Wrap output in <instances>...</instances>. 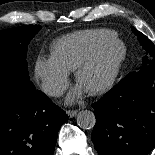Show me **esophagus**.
Here are the masks:
<instances>
[{
  "instance_id": "1",
  "label": "esophagus",
  "mask_w": 155,
  "mask_h": 155,
  "mask_svg": "<svg viewBox=\"0 0 155 155\" xmlns=\"http://www.w3.org/2000/svg\"><path fill=\"white\" fill-rule=\"evenodd\" d=\"M76 114H77V111H76V110H68V111H67V115H68L70 118H73Z\"/></svg>"
}]
</instances>
